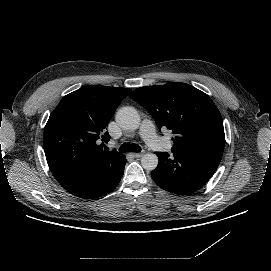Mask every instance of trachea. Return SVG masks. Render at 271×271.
I'll list each match as a JSON object with an SVG mask.
<instances>
[{
    "instance_id": "3493384b",
    "label": "trachea",
    "mask_w": 271,
    "mask_h": 271,
    "mask_svg": "<svg viewBox=\"0 0 271 271\" xmlns=\"http://www.w3.org/2000/svg\"><path fill=\"white\" fill-rule=\"evenodd\" d=\"M120 152H140L141 147L138 144L123 143L120 148Z\"/></svg>"
}]
</instances>
